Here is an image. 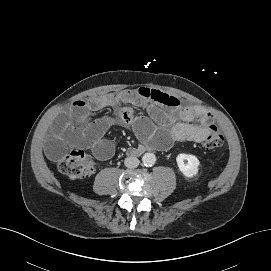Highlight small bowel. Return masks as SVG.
Segmentation results:
<instances>
[{
  "instance_id": "c3829d8e",
  "label": "small bowel",
  "mask_w": 271,
  "mask_h": 271,
  "mask_svg": "<svg viewBox=\"0 0 271 271\" xmlns=\"http://www.w3.org/2000/svg\"><path fill=\"white\" fill-rule=\"evenodd\" d=\"M131 106L144 108L148 117L135 114ZM113 108L114 114L91 121L93 112ZM198 120V124L194 121ZM213 117L199 106L185 105L160 90L139 87L119 92L94 94L76 100L69 111L56 119L46 143L48 156L57 161L67 145L91 149L98 160H107L115 152L104 138L113 126H130L145 143L167 149L176 142L202 143Z\"/></svg>"
}]
</instances>
